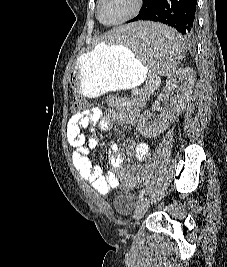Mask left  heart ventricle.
<instances>
[{
  "instance_id": "1",
  "label": "left heart ventricle",
  "mask_w": 227,
  "mask_h": 267,
  "mask_svg": "<svg viewBox=\"0 0 227 267\" xmlns=\"http://www.w3.org/2000/svg\"><path fill=\"white\" fill-rule=\"evenodd\" d=\"M134 6V0H103L101 18L110 23L127 15Z\"/></svg>"
}]
</instances>
